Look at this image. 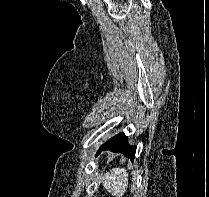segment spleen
<instances>
[{"instance_id":"obj_1","label":"spleen","mask_w":209,"mask_h":197,"mask_svg":"<svg viewBox=\"0 0 209 197\" xmlns=\"http://www.w3.org/2000/svg\"><path fill=\"white\" fill-rule=\"evenodd\" d=\"M104 188L115 197H122L128 187V173L124 168H113L102 178Z\"/></svg>"}]
</instances>
